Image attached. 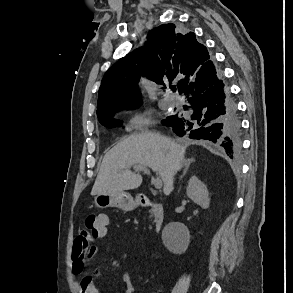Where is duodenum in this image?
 I'll use <instances>...</instances> for the list:
<instances>
[{
  "label": "duodenum",
  "mask_w": 293,
  "mask_h": 293,
  "mask_svg": "<svg viewBox=\"0 0 293 293\" xmlns=\"http://www.w3.org/2000/svg\"><path fill=\"white\" fill-rule=\"evenodd\" d=\"M138 202L140 206H151L153 209V223L155 231H159L164 223V212L162 205L151 198L149 195H142L139 197Z\"/></svg>",
  "instance_id": "1"
}]
</instances>
